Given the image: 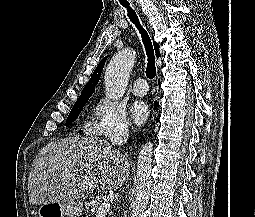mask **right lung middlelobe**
I'll return each mask as SVG.
<instances>
[{"label":"right lung middle lobe","instance_id":"right-lung-middle-lobe-1","mask_svg":"<svg viewBox=\"0 0 255 217\" xmlns=\"http://www.w3.org/2000/svg\"><path fill=\"white\" fill-rule=\"evenodd\" d=\"M92 93L83 94L74 104L71 112L66 120V126L70 125L80 114L81 110L87 103L88 99L91 97Z\"/></svg>","mask_w":255,"mask_h":217}]
</instances>
